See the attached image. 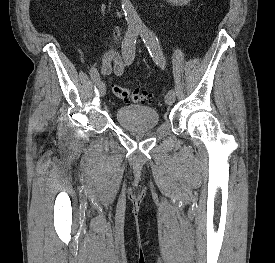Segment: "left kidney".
I'll return each mask as SVG.
<instances>
[{
    "instance_id": "1",
    "label": "left kidney",
    "mask_w": 275,
    "mask_h": 263,
    "mask_svg": "<svg viewBox=\"0 0 275 263\" xmlns=\"http://www.w3.org/2000/svg\"><path fill=\"white\" fill-rule=\"evenodd\" d=\"M190 0H168V2L173 3L175 5H186Z\"/></svg>"
}]
</instances>
